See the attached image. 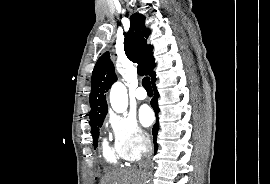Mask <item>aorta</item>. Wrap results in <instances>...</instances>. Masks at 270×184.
<instances>
[{
    "mask_svg": "<svg viewBox=\"0 0 270 184\" xmlns=\"http://www.w3.org/2000/svg\"><path fill=\"white\" fill-rule=\"evenodd\" d=\"M110 104L117 113H123L128 107V94L126 87L121 82L113 84L110 90Z\"/></svg>",
    "mask_w": 270,
    "mask_h": 184,
    "instance_id": "1",
    "label": "aorta"
}]
</instances>
